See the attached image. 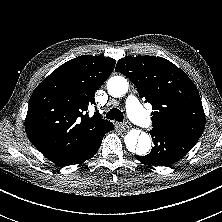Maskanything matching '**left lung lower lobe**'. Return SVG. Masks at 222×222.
<instances>
[{
  "instance_id": "obj_1",
  "label": "left lung lower lobe",
  "mask_w": 222,
  "mask_h": 222,
  "mask_svg": "<svg viewBox=\"0 0 222 222\" xmlns=\"http://www.w3.org/2000/svg\"><path fill=\"white\" fill-rule=\"evenodd\" d=\"M154 147L146 156H136L148 166H170L186 155L197 143L200 136L191 132L171 129L153 128L150 131Z\"/></svg>"
}]
</instances>
